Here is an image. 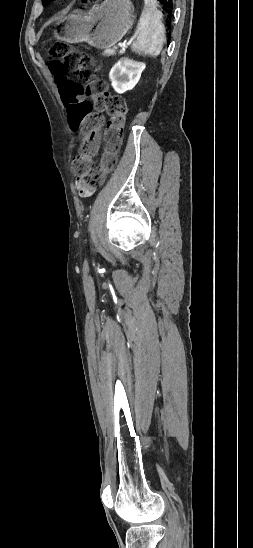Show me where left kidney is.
Wrapping results in <instances>:
<instances>
[{
	"label": "left kidney",
	"mask_w": 253,
	"mask_h": 548,
	"mask_svg": "<svg viewBox=\"0 0 253 548\" xmlns=\"http://www.w3.org/2000/svg\"><path fill=\"white\" fill-rule=\"evenodd\" d=\"M144 69L145 64L142 62L133 61L128 58L120 59L109 73L112 87L120 94L133 89L138 83Z\"/></svg>",
	"instance_id": "obj_1"
}]
</instances>
